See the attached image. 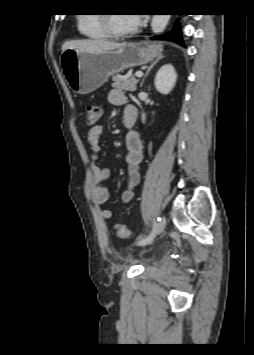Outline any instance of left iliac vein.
<instances>
[{
  "instance_id": "obj_1",
  "label": "left iliac vein",
  "mask_w": 254,
  "mask_h": 355,
  "mask_svg": "<svg viewBox=\"0 0 254 355\" xmlns=\"http://www.w3.org/2000/svg\"><path fill=\"white\" fill-rule=\"evenodd\" d=\"M165 226H166V218L163 217L162 220L156 226L157 234H161L163 232V230L165 229ZM150 243H148V244H150Z\"/></svg>"
}]
</instances>
